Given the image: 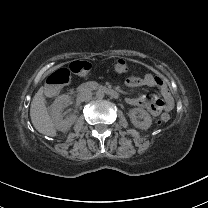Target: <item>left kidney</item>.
<instances>
[{
    "label": "left kidney",
    "mask_w": 208,
    "mask_h": 208,
    "mask_svg": "<svg viewBox=\"0 0 208 208\" xmlns=\"http://www.w3.org/2000/svg\"><path fill=\"white\" fill-rule=\"evenodd\" d=\"M129 117L131 119L132 124L136 128L140 129H148L152 124V119L150 114L142 109V108H133L129 111ZM138 119H143L142 121Z\"/></svg>",
    "instance_id": "left-kidney-1"
}]
</instances>
